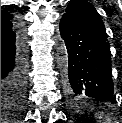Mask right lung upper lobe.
<instances>
[{
  "label": "right lung upper lobe",
  "instance_id": "1",
  "mask_svg": "<svg viewBox=\"0 0 122 123\" xmlns=\"http://www.w3.org/2000/svg\"><path fill=\"white\" fill-rule=\"evenodd\" d=\"M9 21L15 22L16 18L12 14H10L9 12L2 11L1 12V23L2 22H9Z\"/></svg>",
  "mask_w": 122,
  "mask_h": 123
}]
</instances>
